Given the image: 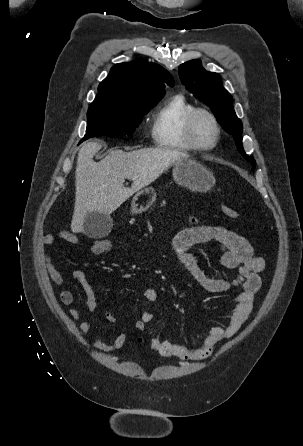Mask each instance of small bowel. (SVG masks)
<instances>
[{
    "mask_svg": "<svg viewBox=\"0 0 303 446\" xmlns=\"http://www.w3.org/2000/svg\"><path fill=\"white\" fill-rule=\"evenodd\" d=\"M59 238L74 244L81 245L78 236L70 231H61ZM217 242L223 253L220 258L221 264L228 270H236V276L229 280L225 278L212 277L207 275L199 266L196 257L191 249L195 246L209 242ZM55 237L52 234H44L42 244L52 246ZM102 239L94 241L89 249L98 255ZM173 252L188 275L205 291L209 293H223L233 288H240L235 298V307L224 326H214L210 329L206 337L196 346H188L171 341H162L156 338L150 340V346L163 357H176L184 360H201L213 352L215 347L223 340L233 337L241 326L248 320L252 313L253 301L256 292L261 286L260 273L264 269L265 262L261 257L255 256L253 247L243 236L231 231L223 226H211L201 224L194 218L189 219V224L180 230L172 240ZM46 270L50 279L56 285H63L65 279L59 270L55 267L50 256L45 257ZM74 279L81 285L86 304L90 311L94 312L98 308L95 292L89 283L85 273L77 270L73 274ZM62 304L69 306L74 302L73 293L69 290H63L59 294ZM144 297L147 303L153 304L158 298V291L155 287H149L144 291ZM69 315L73 319H79L81 312L76 308L69 310ZM105 318L108 322L114 323L116 317L111 310L107 309ZM154 312L152 309H146L134 327L138 331L146 329L147 325L153 320ZM93 324L90 321H83L79 325V331L86 334L93 330ZM126 343V336L120 334L113 340H105L98 336L95 339L94 346L104 352H112L120 349Z\"/></svg>",
    "mask_w": 303,
    "mask_h": 446,
    "instance_id": "1",
    "label": "small bowel"
}]
</instances>
